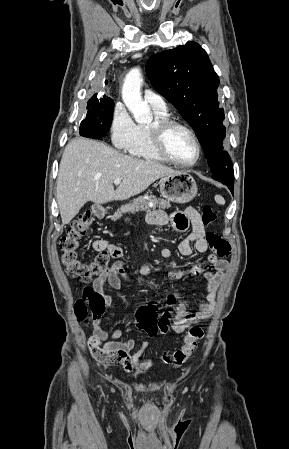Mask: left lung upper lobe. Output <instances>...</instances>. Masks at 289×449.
<instances>
[{
  "mask_svg": "<svg viewBox=\"0 0 289 449\" xmlns=\"http://www.w3.org/2000/svg\"><path fill=\"white\" fill-rule=\"evenodd\" d=\"M146 73L157 92L171 102L192 126L212 172L220 182L233 181L234 170L223 150L226 128L218 107L219 78L206 51L195 42L152 56Z\"/></svg>",
  "mask_w": 289,
  "mask_h": 449,
  "instance_id": "left-lung-upper-lobe-1",
  "label": "left lung upper lobe"
}]
</instances>
